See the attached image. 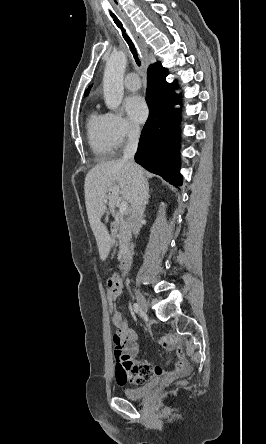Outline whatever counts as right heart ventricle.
I'll return each instance as SVG.
<instances>
[{
	"label": "right heart ventricle",
	"instance_id": "right-heart-ventricle-1",
	"mask_svg": "<svg viewBox=\"0 0 266 444\" xmlns=\"http://www.w3.org/2000/svg\"><path fill=\"white\" fill-rule=\"evenodd\" d=\"M86 131L88 144L97 157L113 156L115 145L109 133L106 115L92 110L87 117Z\"/></svg>",
	"mask_w": 266,
	"mask_h": 444
}]
</instances>
